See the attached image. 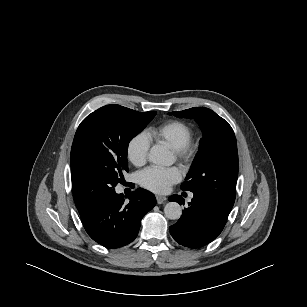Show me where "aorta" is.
<instances>
[{
    "label": "aorta",
    "mask_w": 307,
    "mask_h": 307,
    "mask_svg": "<svg viewBox=\"0 0 307 307\" xmlns=\"http://www.w3.org/2000/svg\"><path fill=\"white\" fill-rule=\"evenodd\" d=\"M148 159L156 165L169 166L172 164L169 152L160 145L151 148ZM164 214L168 219L176 220L181 217L182 208L177 202H169L164 207Z\"/></svg>",
    "instance_id": "762f6f07"
}]
</instances>
